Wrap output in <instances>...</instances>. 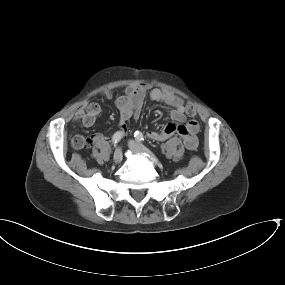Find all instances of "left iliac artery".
Instances as JSON below:
<instances>
[{
  "label": "left iliac artery",
  "mask_w": 285,
  "mask_h": 285,
  "mask_svg": "<svg viewBox=\"0 0 285 285\" xmlns=\"http://www.w3.org/2000/svg\"><path fill=\"white\" fill-rule=\"evenodd\" d=\"M134 137H135V139H136L137 141H139V142L144 141L143 134H142L141 132H139V131H136V132L134 133Z\"/></svg>",
  "instance_id": "44dca946"
}]
</instances>
